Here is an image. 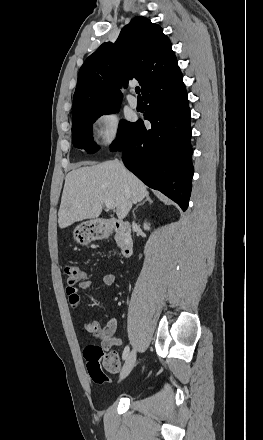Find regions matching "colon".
<instances>
[{
    "mask_svg": "<svg viewBox=\"0 0 263 440\" xmlns=\"http://www.w3.org/2000/svg\"><path fill=\"white\" fill-rule=\"evenodd\" d=\"M64 273L70 287L80 284L86 278L85 270L75 263H67L64 266ZM83 354L88 374L95 383L107 382L106 372L117 373L120 368V358L115 351L104 353L100 346L89 344L85 347Z\"/></svg>",
    "mask_w": 263,
    "mask_h": 440,
    "instance_id": "obj_1",
    "label": "colon"
}]
</instances>
